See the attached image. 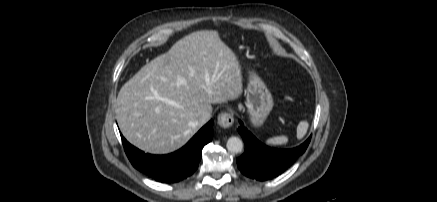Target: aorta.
<instances>
[{
    "mask_svg": "<svg viewBox=\"0 0 437 202\" xmlns=\"http://www.w3.org/2000/svg\"><path fill=\"white\" fill-rule=\"evenodd\" d=\"M227 149L231 153H240L243 149V142L238 137H230L227 141Z\"/></svg>",
    "mask_w": 437,
    "mask_h": 202,
    "instance_id": "obj_1",
    "label": "aorta"
}]
</instances>
